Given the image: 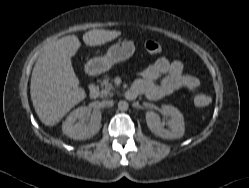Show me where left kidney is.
<instances>
[{
  "mask_svg": "<svg viewBox=\"0 0 249 188\" xmlns=\"http://www.w3.org/2000/svg\"><path fill=\"white\" fill-rule=\"evenodd\" d=\"M162 114L170 116L171 120L167 122L169 129H165L160 116L153 111L146 113L147 126L152 133L164 139H177L184 135L185 123L181 112L170 105L162 106Z\"/></svg>",
  "mask_w": 249,
  "mask_h": 188,
  "instance_id": "5707ae66",
  "label": "left kidney"
}]
</instances>
